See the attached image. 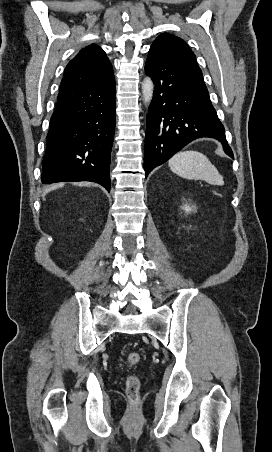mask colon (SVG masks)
Returning <instances> with one entry per match:
<instances>
[{"label":"colon","mask_w":272,"mask_h":452,"mask_svg":"<svg viewBox=\"0 0 272 452\" xmlns=\"http://www.w3.org/2000/svg\"><path fill=\"white\" fill-rule=\"evenodd\" d=\"M140 359L141 357L139 353L131 352L126 357V364L128 366H134L140 362ZM140 387L141 382L137 376L132 375L128 377L126 381V395L132 403H136L139 400Z\"/></svg>","instance_id":"5ec220e1"}]
</instances>
